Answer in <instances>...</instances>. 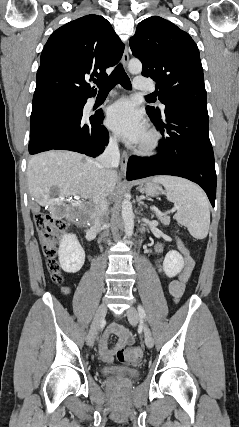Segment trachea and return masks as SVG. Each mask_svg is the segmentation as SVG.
Segmentation results:
<instances>
[{
  "label": "trachea",
  "instance_id": "obj_1",
  "mask_svg": "<svg viewBox=\"0 0 239 427\" xmlns=\"http://www.w3.org/2000/svg\"><path fill=\"white\" fill-rule=\"evenodd\" d=\"M99 88V92H109L116 84H121L126 89H131V82L121 64L117 65L110 76L104 80L95 82ZM152 97V95H148Z\"/></svg>",
  "mask_w": 239,
  "mask_h": 427
}]
</instances>
